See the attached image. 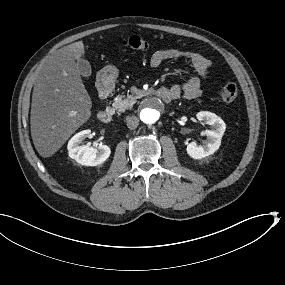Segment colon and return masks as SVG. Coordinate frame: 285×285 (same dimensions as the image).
<instances>
[{
  "mask_svg": "<svg viewBox=\"0 0 285 285\" xmlns=\"http://www.w3.org/2000/svg\"><path fill=\"white\" fill-rule=\"evenodd\" d=\"M121 45L124 48L146 51L149 49L148 41L139 35H132L122 40ZM238 95V88L235 83L229 82L224 84L219 91V98L224 103L233 102Z\"/></svg>",
  "mask_w": 285,
  "mask_h": 285,
  "instance_id": "1",
  "label": "colon"
}]
</instances>
